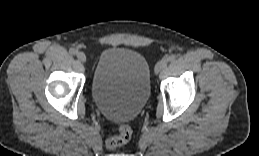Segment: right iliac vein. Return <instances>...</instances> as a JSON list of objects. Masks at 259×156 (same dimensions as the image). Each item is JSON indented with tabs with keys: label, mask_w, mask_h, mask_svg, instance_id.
Returning <instances> with one entry per match:
<instances>
[{
	"label": "right iliac vein",
	"mask_w": 259,
	"mask_h": 156,
	"mask_svg": "<svg viewBox=\"0 0 259 156\" xmlns=\"http://www.w3.org/2000/svg\"><path fill=\"white\" fill-rule=\"evenodd\" d=\"M77 58L80 62L85 63L86 62V56L83 52L77 53Z\"/></svg>",
	"instance_id": "right-iliac-vein-1"
}]
</instances>
